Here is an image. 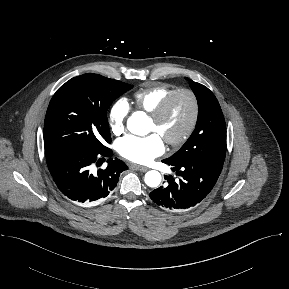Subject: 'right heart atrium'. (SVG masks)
<instances>
[{"label":"right heart atrium","instance_id":"1","mask_svg":"<svg viewBox=\"0 0 289 289\" xmlns=\"http://www.w3.org/2000/svg\"><path fill=\"white\" fill-rule=\"evenodd\" d=\"M130 109V104L124 98L116 100L111 105L108 113V119L113 134L120 135L123 133Z\"/></svg>","mask_w":289,"mask_h":289}]
</instances>
